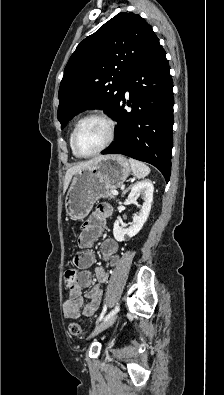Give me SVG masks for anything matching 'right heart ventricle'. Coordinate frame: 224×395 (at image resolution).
<instances>
[{
  "label": "right heart ventricle",
  "mask_w": 224,
  "mask_h": 395,
  "mask_svg": "<svg viewBox=\"0 0 224 395\" xmlns=\"http://www.w3.org/2000/svg\"><path fill=\"white\" fill-rule=\"evenodd\" d=\"M72 135H73V131L71 132L70 137H69V144H70V148H71V150H72L73 155H74L75 157H77V156L75 155V153L73 152V148H72Z\"/></svg>",
  "instance_id": "right-heart-ventricle-1"
}]
</instances>
